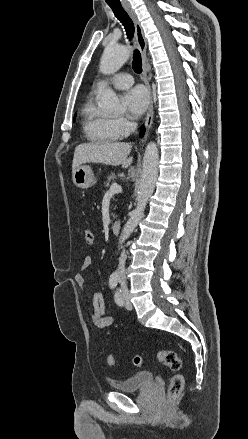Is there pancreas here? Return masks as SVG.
<instances>
[{
  "label": "pancreas",
  "instance_id": "1",
  "mask_svg": "<svg viewBox=\"0 0 248 439\" xmlns=\"http://www.w3.org/2000/svg\"><path fill=\"white\" fill-rule=\"evenodd\" d=\"M116 179V175L115 173H111L108 177H107V181L105 182V186H109L110 182L114 181ZM114 217V215H112Z\"/></svg>",
  "mask_w": 248,
  "mask_h": 439
}]
</instances>
